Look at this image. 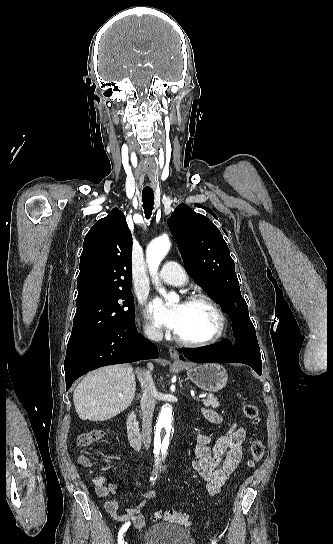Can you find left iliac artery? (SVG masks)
<instances>
[{"label":"left iliac artery","mask_w":333,"mask_h":544,"mask_svg":"<svg viewBox=\"0 0 333 544\" xmlns=\"http://www.w3.org/2000/svg\"><path fill=\"white\" fill-rule=\"evenodd\" d=\"M212 544H216V542H215V541H212Z\"/></svg>","instance_id":"left-iliac-artery-1"}]
</instances>
